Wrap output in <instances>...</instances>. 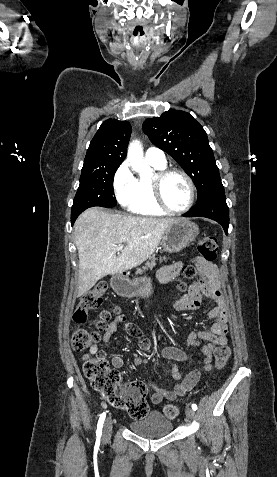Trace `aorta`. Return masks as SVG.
Masks as SVG:
<instances>
[{
	"label": "aorta",
	"instance_id": "1",
	"mask_svg": "<svg viewBox=\"0 0 277 477\" xmlns=\"http://www.w3.org/2000/svg\"><path fill=\"white\" fill-rule=\"evenodd\" d=\"M128 161L132 169L139 173L141 178L152 174L150 166L143 161V148L139 141H133L128 147Z\"/></svg>",
	"mask_w": 277,
	"mask_h": 477
}]
</instances>
